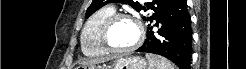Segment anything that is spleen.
<instances>
[{"mask_svg":"<svg viewBox=\"0 0 246 69\" xmlns=\"http://www.w3.org/2000/svg\"><path fill=\"white\" fill-rule=\"evenodd\" d=\"M146 58L149 62V69H175V66L164 57L146 54Z\"/></svg>","mask_w":246,"mask_h":69,"instance_id":"obj_1","label":"spleen"}]
</instances>
